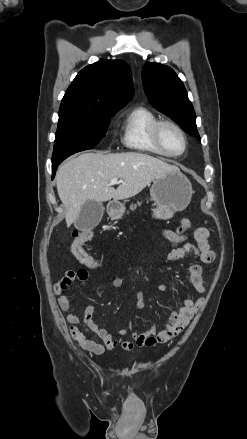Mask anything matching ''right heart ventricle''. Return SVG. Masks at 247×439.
<instances>
[{"instance_id": "1", "label": "right heart ventricle", "mask_w": 247, "mask_h": 439, "mask_svg": "<svg viewBox=\"0 0 247 439\" xmlns=\"http://www.w3.org/2000/svg\"><path fill=\"white\" fill-rule=\"evenodd\" d=\"M159 120L158 115L146 106L132 108L122 123L123 145L131 150L163 155L152 138L153 127Z\"/></svg>"}]
</instances>
